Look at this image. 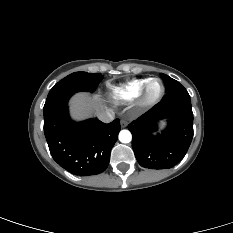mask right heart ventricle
I'll return each mask as SVG.
<instances>
[{
    "mask_svg": "<svg viewBox=\"0 0 233 233\" xmlns=\"http://www.w3.org/2000/svg\"><path fill=\"white\" fill-rule=\"evenodd\" d=\"M150 78L133 79L121 86L114 87L111 91V98L116 103L130 102L136 99Z\"/></svg>",
    "mask_w": 233,
    "mask_h": 233,
    "instance_id": "e07e8e85",
    "label": "right heart ventricle"
}]
</instances>
